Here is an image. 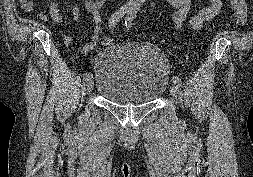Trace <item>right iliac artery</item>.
<instances>
[{
	"mask_svg": "<svg viewBox=\"0 0 253 177\" xmlns=\"http://www.w3.org/2000/svg\"><path fill=\"white\" fill-rule=\"evenodd\" d=\"M133 7L129 5L122 6L120 9L115 11L110 19H109V28L113 31L117 25V23L120 21V19L129 12ZM92 77V74L90 72H86L84 74V80L88 81Z\"/></svg>",
	"mask_w": 253,
	"mask_h": 177,
	"instance_id": "1",
	"label": "right iliac artery"
}]
</instances>
